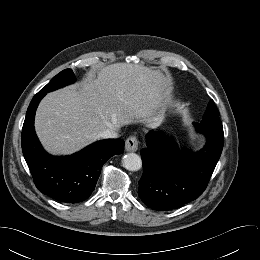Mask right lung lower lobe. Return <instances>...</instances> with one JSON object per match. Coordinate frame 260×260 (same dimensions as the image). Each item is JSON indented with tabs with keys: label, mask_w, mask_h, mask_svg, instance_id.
I'll return each mask as SVG.
<instances>
[{
	"label": "right lung lower lobe",
	"mask_w": 260,
	"mask_h": 260,
	"mask_svg": "<svg viewBox=\"0 0 260 260\" xmlns=\"http://www.w3.org/2000/svg\"><path fill=\"white\" fill-rule=\"evenodd\" d=\"M32 99L22 129V151L39 191L63 203H77L94 191L103 164L113 155L122 154V139L95 142L71 156L55 157L46 153L34 130V116L40 100Z\"/></svg>",
	"instance_id": "right-lung-lower-lobe-1"
}]
</instances>
